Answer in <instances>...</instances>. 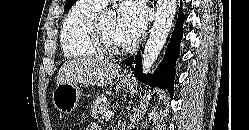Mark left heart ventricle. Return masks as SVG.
Here are the masks:
<instances>
[{
    "label": "left heart ventricle",
    "instance_id": "b2bd125f",
    "mask_svg": "<svg viewBox=\"0 0 249 130\" xmlns=\"http://www.w3.org/2000/svg\"><path fill=\"white\" fill-rule=\"evenodd\" d=\"M103 31L108 40L115 46H122L116 29V19L113 16L104 15L101 18Z\"/></svg>",
    "mask_w": 249,
    "mask_h": 130
}]
</instances>
